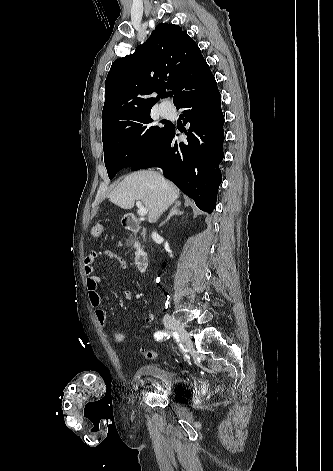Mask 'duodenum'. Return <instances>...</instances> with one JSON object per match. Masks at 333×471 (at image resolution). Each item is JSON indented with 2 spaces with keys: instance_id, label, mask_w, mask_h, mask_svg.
Listing matches in <instances>:
<instances>
[{
  "instance_id": "1",
  "label": "duodenum",
  "mask_w": 333,
  "mask_h": 471,
  "mask_svg": "<svg viewBox=\"0 0 333 471\" xmlns=\"http://www.w3.org/2000/svg\"><path fill=\"white\" fill-rule=\"evenodd\" d=\"M123 225L132 233L138 234L141 231V226L138 219L131 213H127L123 217ZM134 264L138 272H146L149 264L148 255L144 248L137 243L134 253Z\"/></svg>"
}]
</instances>
